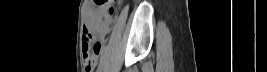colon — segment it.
Returning <instances> with one entry per match:
<instances>
[{"mask_svg":"<svg viewBox=\"0 0 267 72\" xmlns=\"http://www.w3.org/2000/svg\"><path fill=\"white\" fill-rule=\"evenodd\" d=\"M117 0H95V5L97 6V10L100 12V22L99 27H106L114 13H115V5ZM84 48H83V64L84 67H95L97 64V56L100 51V43L93 42L91 36H86L84 38Z\"/></svg>","mask_w":267,"mask_h":72,"instance_id":"obj_1","label":"colon"}]
</instances>
